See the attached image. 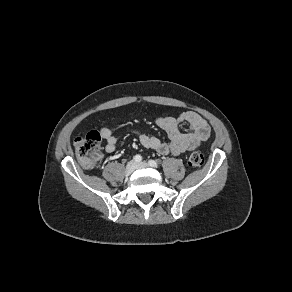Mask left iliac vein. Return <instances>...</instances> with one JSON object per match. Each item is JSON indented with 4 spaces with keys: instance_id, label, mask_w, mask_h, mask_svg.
<instances>
[{
    "instance_id": "obj_1",
    "label": "left iliac vein",
    "mask_w": 292,
    "mask_h": 292,
    "mask_svg": "<svg viewBox=\"0 0 292 292\" xmlns=\"http://www.w3.org/2000/svg\"><path fill=\"white\" fill-rule=\"evenodd\" d=\"M149 166V164L147 163V162H140V163H138V164H136V168H146V167H148Z\"/></svg>"
}]
</instances>
